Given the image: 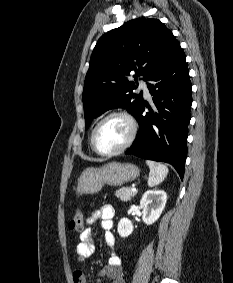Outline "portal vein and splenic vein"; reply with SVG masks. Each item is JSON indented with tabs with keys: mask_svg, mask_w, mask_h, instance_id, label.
<instances>
[{
	"mask_svg": "<svg viewBox=\"0 0 233 283\" xmlns=\"http://www.w3.org/2000/svg\"><path fill=\"white\" fill-rule=\"evenodd\" d=\"M131 191L132 192H137V189L133 187V188H131Z\"/></svg>",
	"mask_w": 233,
	"mask_h": 283,
	"instance_id": "portal-vein-and-splenic-vein-1",
	"label": "portal vein and splenic vein"
}]
</instances>
